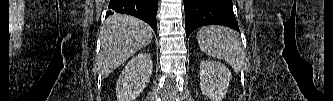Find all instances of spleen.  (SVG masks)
<instances>
[{
    "label": "spleen",
    "instance_id": "1",
    "mask_svg": "<svg viewBox=\"0 0 333 101\" xmlns=\"http://www.w3.org/2000/svg\"><path fill=\"white\" fill-rule=\"evenodd\" d=\"M200 49L207 55L227 61L236 72L245 64L246 54L238 34L223 26H206L197 32Z\"/></svg>",
    "mask_w": 333,
    "mask_h": 101
}]
</instances>
